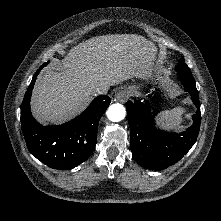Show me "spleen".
I'll return each instance as SVG.
<instances>
[{
  "label": "spleen",
  "instance_id": "1",
  "mask_svg": "<svg viewBox=\"0 0 221 221\" xmlns=\"http://www.w3.org/2000/svg\"><path fill=\"white\" fill-rule=\"evenodd\" d=\"M185 109L182 107H175L171 110L160 112L156 118L158 124L165 129H176L183 121L182 115Z\"/></svg>",
  "mask_w": 221,
  "mask_h": 221
}]
</instances>
